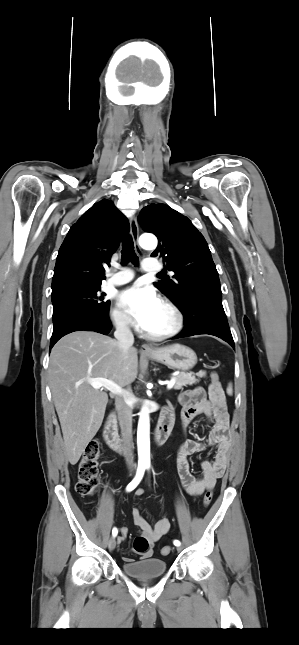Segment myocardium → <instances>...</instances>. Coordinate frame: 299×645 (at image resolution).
I'll return each mask as SVG.
<instances>
[{
	"instance_id": "f54148a6",
	"label": "myocardium",
	"mask_w": 299,
	"mask_h": 645,
	"mask_svg": "<svg viewBox=\"0 0 299 645\" xmlns=\"http://www.w3.org/2000/svg\"><path fill=\"white\" fill-rule=\"evenodd\" d=\"M161 302L172 316V325L168 330L159 333H151L143 330L144 336L154 341H161L174 337L183 329L184 326V316L180 309L167 299H163Z\"/></svg>"
}]
</instances>
